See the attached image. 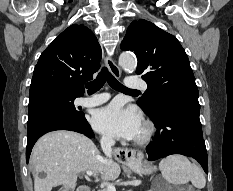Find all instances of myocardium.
I'll use <instances>...</instances> for the list:
<instances>
[{
    "mask_svg": "<svg viewBox=\"0 0 233 191\" xmlns=\"http://www.w3.org/2000/svg\"><path fill=\"white\" fill-rule=\"evenodd\" d=\"M142 127H143L142 135L137 137L135 140V144L138 146H144L148 144L151 141L154 134V127L151 122L145 121Z\"/></svg>",
    "mask_w": 233,
    "mask_h": 191,
    "instance_id": "myocardium-1",
    "label": "myocardium"
}]
</instances>
